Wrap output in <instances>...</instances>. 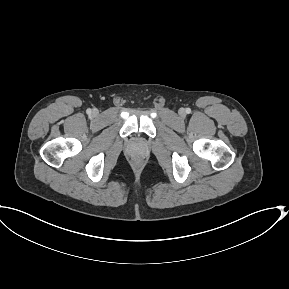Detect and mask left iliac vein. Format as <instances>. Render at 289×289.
Masks as SVG:
<instances>
[{"mask_svg":"<svg viewBox=\"0 0 289 289\" xmlns=\"http://www.w3.org/2000/svg\"><path fill=\"white\" fill-rule=\"evenodd\" d=\"M179 115H180L181 117H184V116L186 115V111H185L184 109H180V110H179Z\"/></svg>","mask_w":289,"mask_h":289,"instance_id":"obj_1","label":"left iliac vein"}]
</instances>
